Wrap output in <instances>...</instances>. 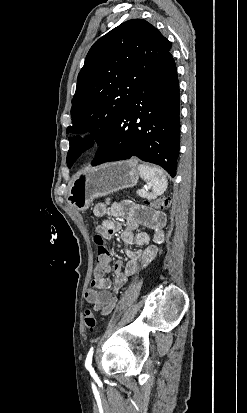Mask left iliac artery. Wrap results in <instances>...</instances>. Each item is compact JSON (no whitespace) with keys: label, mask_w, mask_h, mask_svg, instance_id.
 <instances>
[{"label":"left iliac artery","mask_w":247,"mask_h":413,"mask_svg":"<svg viewBox=\"0 0 247 413\" xmlns=\"http://www.w3.org/2000/svg\"><path fill=\"white\" fill-rule=\"evenodd\" d=\"M92 356H93V347L90 348V350H89V352H88V354H87V357H86V361H85V367H86V369H88V370L92 368V366H91V364H92Z\"/></svg>","instance_id":"obj_1"}]
</instances>
